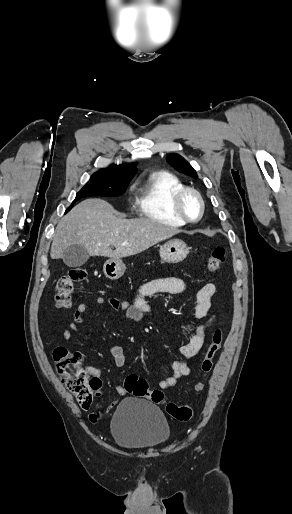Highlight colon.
Returning <instances> with one entry per match:
<instances>
[{
  "mask_svg": "<svg viewBox=\"0 0 292 514\" xmlns=\"http://www.w3.org/2000/svg\"><path fill=\"white\" fill-rule=\"evenodd\" d=\"M226 249L216 246L212 250L206 269L214 272L224 263ZM86 273L81 269H71L60 277L55 284V302L58 308H67L71 305L74 289L77 284L86 279ZM223 342V329L214 330L210 341L207 343L204 356L201 360V373L206 377L213 368V359L218 353ZM53 359L56 365V374L64 380L65 387L70 391L80 407L89 409L97 400L101 390V380L97 376L90 377L83 368V355L79 351H71L65 347L57 346L53 350ZM124 389L136 398L147 399L164 406L169 416L178 421L189 420L193 415L190 405H179L165 399L160 389L151 388L147 380L135 374L126 376L123 382ZM195 390L202 392L205 388L203 382H197ZM90 420L98 419L97 411L89 412Z\"/></svg>",
  "mask_w": 292,
  "mask_h": 514,
  "instance_id": "obj_1",
  "label": "colon"
}]
</instances>
